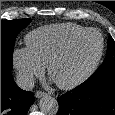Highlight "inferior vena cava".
Returning <instances> with one entry per match:
<instances>
[{"mask_svg":"<svg viewBox=\"0 0 115 115\" xmlns=\"http://www.w3.org/2000/svg\"><path fill=\"white\" fill-rule=\"evenodd\" d=\"M34 77L28 73H17L16 84L23 90H31L34 87Z\"/></svg>","mask_w":115,"mask_h":115,"instance_id":"inferior-vena-cava-1","label":"inferior vena cava"}]
</instances>
